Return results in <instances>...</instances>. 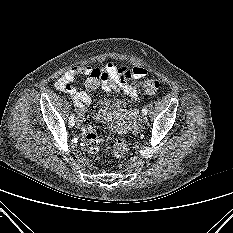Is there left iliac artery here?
Listing matches in <instances>:
<instances>
[{
    "mask_svg": "<svg viewBox=\"0 0 233 233\" xmlns=\"http://www.w3.org/2000/svg\"><path fill=\"white\" fill-rule=\"evenodd\" d=\"M147 112H148L147 108H146V107H143V109H142V114L147 115Z\"/></svg>",
    "mask_w": 233,
    "mask_h": 233,
    "instance_id": "obj_1",
    "label": "left iliac artery"
}]
</instances>
